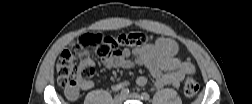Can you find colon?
Instances as JSON below:
<instances>
[{"label": "colon", "mask_w": 252, "mask_h": 104, "mask_svg": "<svg viewBox=\"0 0 252 104\" xmlns=\"http://www.w3.org/2000/svg\"><path fill=\"white\" fill-rule=\"evenodd\" d=\"M147 40L146 35L137 30L124 32L115 38L102 33H87L72 43L59 56L57 62V80L69 99L79 95L80 83L90 78L94 70L84 63L92 54L100 59H107L119 47H139ZM200 88L198 79L187 74L184 79V94L194 98Z\"/></svg>", "instance_id": "5ec220e1"}]
</instances>
